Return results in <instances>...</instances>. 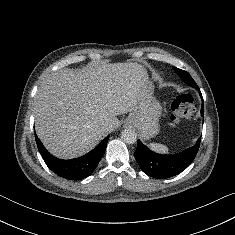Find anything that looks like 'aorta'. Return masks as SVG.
Here are the masks:
<instances>
[{"mask_svg":"<svg viewBox=\"0 0 235 235\" xmlns=\"http://www.w3.org/2000/svg\"><path fill=\"white\" fill-rule=\"evenodd\" d=\"M121 139L126 144H134L137 141V134L132 129H125L121 133Z\"/></svg>","mask_w":235,"mask_h":235,"instance_id":"1","label":"aorta"}]
</instances>
